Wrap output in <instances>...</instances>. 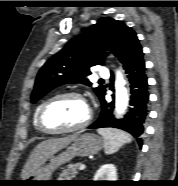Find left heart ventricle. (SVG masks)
<instances>
[{"label": "left heart ventricle", "mask_w": 178, "mask_h": 186, "mask_svg": "<svg viewBox=\"0 0 178 186\" xmlns=\"http://www.w3.org/2000/svg\"><path fill=\"white\" fill-rule=\"evenodd\" d=\"M87 106L75 97H66L50 104L44 122L50 129H66L79 125L87 116Z\"/></svg>", "instance_id": "left-heart-ventricle-1"}]
</instances>
